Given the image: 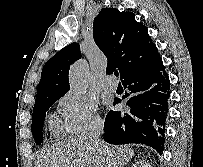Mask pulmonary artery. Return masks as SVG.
<instances>
[{"label": "pulmonary artery", "mask_w": 203, "mask_h": 167, "mask_svg": "<svg viewBox=\"0 0 203 167\" xmlns=\"http://www.w3.org/2000/svg\"><path fill=\"white\" fill-rule=\"evenodd\" d=\"M103 86L106 90L113 92L117 89V82L114 80L112 75H109L106 77Z\"/></svg>", "instance_id": "pulmonary-artery-1"}]
</instances>
